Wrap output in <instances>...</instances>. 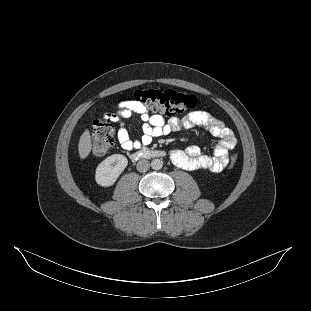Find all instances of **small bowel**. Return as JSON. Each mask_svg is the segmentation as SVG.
Returning <instances> with one entry per match:
<instances>
[{"instance_id":"c3829d8e","label":"small bowel","mask_w":311,"mask_h":311,"mask_svg":"<svg viewBox=\"0 0 311 311\" xmlns=\"http://www.w3.org/2000/svg\"><path fill=\"white\" fill-rule=\"evenodd\" d=\"M134 114L138 115L142 121V136L139 140H132L123 124L124 119ZM105 117L120 125L117 141L126 151L149 145L153 139L183 128L202 127L206 129L218 139L212 155L202 154L197 146H189L171 152L172 162L185 170L207 169L219 173L228 164L229 151L236 145L233 131L205 111L191 112L182 119H165L161 115L151 114L149 109L136 100H127L118 104L117 113H107Z\"/></svg>"}]
</instances>
